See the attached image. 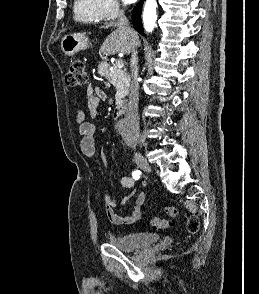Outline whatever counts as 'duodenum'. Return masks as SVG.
I'll list each match as a JSON object with an SVG mask.
<instances>
[{
    "label": "duodenum",
    "mask_w": 259,
    "mask_h": 294,
    "mask_svg": "<svg viewBox=\"0 0 259 294\" xmlns=\"http://www.w3.org/2000/svg\"><path fill=\"white\" fill-rule=\"evenodd\" d=\"M126 115V109H125V106L124 105H118L116 107V110H115V113H114V116L116 118H120V117H123Z\"/></svg>",
    "instance_id": "duodenum-1"
}]
</instances>
